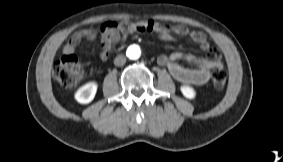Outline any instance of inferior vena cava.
<instances>
[{
	"mask_svg": "<svg viewBox=\"0 0 283 162\" xmlns=\"http://www.w3.org/2000/svg\"><path fill=\"white\" fill-rule=\"evenodd\" d=\"M126 62V57L124 55H118L115 59H114V64L115 66H122L124 65Z\"/></svg>",
	"mask_w": 283,
	"mask_h": 162,
	"instance_id": "602c4592",
	"label": "inferior vena cava"
}]
</instances>
